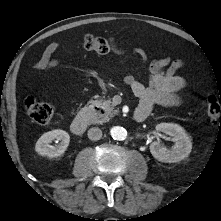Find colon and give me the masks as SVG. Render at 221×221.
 <instances>
[{"label": "colon", "instance_id": "1", "mask_svg": "<svg viewBox=\"0 0 221 221\" xmlns=\"http://www.w3.org/2000/svg\"><path fill=\"white\" fill-rule=\"evenodd\" d=\"M82 46L88 50L105 53L114 47V41L111 38L86 35L82 40ZM26 112L30 119L38 124H47L53 114L49 104L37 100L34 96L26 97L24 101ZM221 97L209 95L207 99V115L213 122L220 121Z\"/></svg>", "mask_w": 221, "mask_h": 221}]
</instances>
